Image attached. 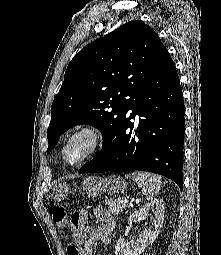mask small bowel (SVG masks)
<instances>
[{"label": "small bowel", "mask_w": 221, "mask_h": 255, "mask_svg": "<svg viewBox=\"0 0 221 255\" xmlns=\"http://www.w3.org/2000/svg\"><path fill=\"white\" fill-rule=\"evenodd\" d=\"M95 214L102 223L90 231L86 227L82 232L72 230L73 239L67 249L68 255H93L99 241L105 245L110 243L115 226L113 216L102 208L97 209Z\"/></svg>", "instance_id": "obj_1"}]
</instances>
